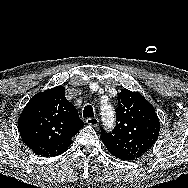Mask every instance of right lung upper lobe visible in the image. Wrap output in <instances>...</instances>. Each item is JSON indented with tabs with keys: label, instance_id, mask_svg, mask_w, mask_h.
<instances>
[{
	"label": "right lung upper lobe",
	"instance_id": "right-lung-upper-lobe-1",
	"mask_svg": "<svg viewBox=\"0 0 188 188\" xmlns=\"http://www.w3.org/2000/svg\"><path fill=\"white\" fill-rule=\"evenodd\" d=\"M64 92V87L57 86L37 93L18 119L23 142L37 155L54 157L64 153L84 126Z\"/></svg>",
	"mask_w": 188,
	"mask_h": 188
}]
</instances>
